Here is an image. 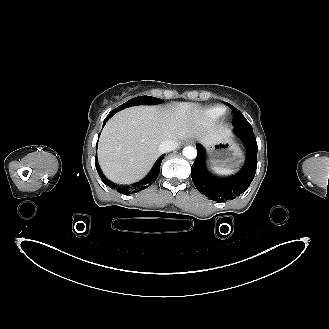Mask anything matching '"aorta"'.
Wrapping results in <instances>:
<instances>
[{"label": "aorta", "mask_w": 329, "mask_h": 329, "mask_svg": "<svg viewBox=\"0 0 329 329\" xmlns=\"http://www.w3.org/2000/svg\"><path fill=\"white\" fill-rule=\"evenodd\" d=\"M183 155L187 158V159H195L197 156V150L195 147L192 146H186L183 148Z\"/></svg>", "instance_id": "1"}]
</instances>
